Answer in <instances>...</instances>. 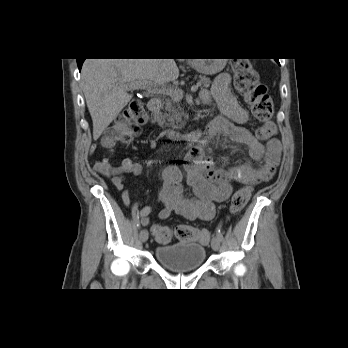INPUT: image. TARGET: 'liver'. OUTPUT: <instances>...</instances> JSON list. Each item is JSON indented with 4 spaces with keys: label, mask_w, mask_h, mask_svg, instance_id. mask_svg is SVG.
Returning <instances> with one entry per match:
<instances>
[{
    "label": "liver",
    "mask_w": 348,
    "mask_h": 348,
    "mask_svg": "<svg viewBox=\"0 0 348 348\" xmlns=\"http://www.w3.org/2000/svg\"><path fill=\"white\" fill-rule=\"evenodd\" d=\"M179 69L174 59H86L81 83L97 140L132 99L126 84L147 80L174 82Z\"/></svg>",
    "instance_id": "1"
}]
</instances>
